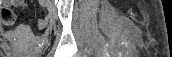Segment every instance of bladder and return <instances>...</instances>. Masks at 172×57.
Returning a JSON list of instances; mask_svg holds the SVG:
<instances>
[{
  "label": "bladder",
  "instance_id": "31cf9c89",
  "mask_svg": "<svg viewBox=\"0 0 172 57\" xmlns=\"http://www.w3.org/2000/svg\"><path fill=\"white\" fill-rule=\"evenodd\" d=\"M2 57H15L13 55V52H5L3 55H1Z\"/></svg>",
  "mask_w": 172,
  "mask_h": 57
}]
</instances>
